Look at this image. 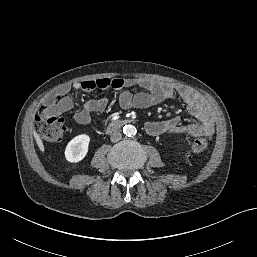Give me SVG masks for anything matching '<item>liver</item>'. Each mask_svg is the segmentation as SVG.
<instances>
[{
  "mask_svg": "<svg viewBox=\"0 0 257 257\" xmlns=\"http://www.w3.org/2000/svg\"><path fill=\"white\" fill-rule=\"evenodd\" d=\"M33 134H34V138L36 140V143H37L40 151L44 152V145L42 143V140L40 139V136L38 135V133L36 131H34Z\"/></svg>",
  "mask_w": 257,
  "mask_h": 257,
  "instance_id": "liver-1",
  "label": "liver"
}]
</instances>
